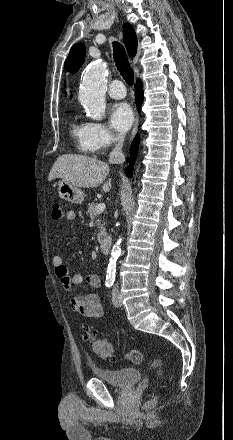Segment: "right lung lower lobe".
I'll return each instance as SVG.
<instances>
[{"label": "right lung lower lobe", "instance_id": "98d812e1", "mask_svg": "<svg viewBox=\"0 0 233 440\" xmlns=\"http://www.w3.org/2000/svg\"><path fill=\"white\" fill-rule=\"evenodd\" d=\"M136 91H135V96H136V102H137V108L140 109L142 101H143V89H142V83L140 82V80L137 81L136 83ZM138 136L134 139L131 149H130V160L127 159V162H130L129 166L125 169V173L127 174V176L132 177V170H133V164H134V160L136 159L137 156V150H138Z\"/></svg>", "mask_w": 233, "mask_h": 440}]
</instances>
